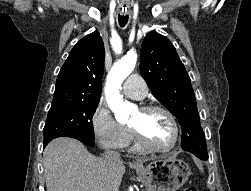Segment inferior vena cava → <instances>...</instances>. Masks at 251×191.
<instances>
[{"instance_id": "1", "label": "inferior vena cava", "mask_w": 251, "mask_h": 191, "mask_svg": "<svg viewBox=\"0 0 251 191\" xmlns=\"http://www.w3.org/2000/svg\"><path fill=\"white\" fill-rule=\"evenodd\" d=\"M103 159H107V161H111V163H120L121 157L118 151H112V149H106L103 153Z\"/></svg>"}]
</instances>
